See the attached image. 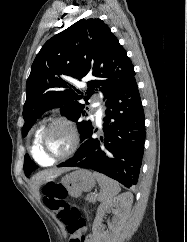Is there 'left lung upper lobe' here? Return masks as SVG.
Returning <instances> with one entry per match:
<instances>
[{"label":"left lung upper lobe","instance_id":"1","mask_svg":"<svg viewBox=\"0 0 187 242\" xmlns=\"http://www.w3.org/2000/svg\"><path fill=\"white\" fill-rule=\"evenodd\" d=\"M135 76L134 66L125 49L107 24L100 19H81L50 38L37 54L26 83L23 107L26 136L36 119L45 111L60 108L62 114L76 122L81 142L93 127L87 118L90 97L99 89L109 99L121 86ZM91 79L81 92L76 82ZM36 164L28 155L24 171L29 176Z\"/></svg>","mask_w":187,"mask_h":242}]
</instances>
